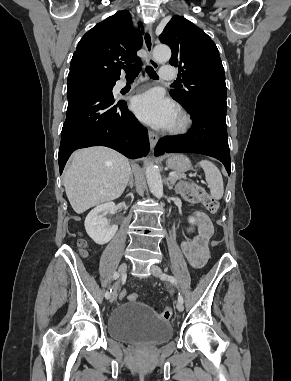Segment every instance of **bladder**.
Returning a JSON list of instances; mask_svg holds the SVG:
<instances>
[{
  "instance_id": "31cf9c89",
  "label": "bladder",
  "mask_w": 291,
  "mask_h": 381,
  "mask_svg": "<svg viewBox=\"0 0 291 381\" xmlns=\"http://www.w3.org/2000/svg\"><path fill=\"white\" fill-rule=\"evenodd\" d=\"M109 336L119 342L156 345L172 336V326L148 304L127 301L116 306L108 316Z\"/></svg>"
}]
</instances>
